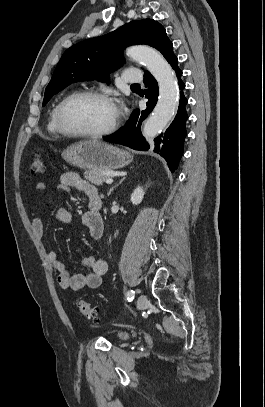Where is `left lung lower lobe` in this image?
<instances>
[{"label":"left lung lower lobe","mask_w":265,"mask_h":407,"mask_svg":"<svg viewBox=\"0 0 265 407\" xmlns=\"http://www.w3.org/2000/svg\"><path fill=\"white\" fill-rule=\"evenodd\" d=\"M177 62L178 60L176 58L170 65L176 73L178 85L181 89L178 112L165 133L155 138L154 143L151 145L153 151L160 154L167 161L172 172L177 169L179 160L183 154L184 139L187 135L185 126L186 120L188 119L186 112L188 101L183 93L185 84L181 79L182 71L178 67ZM144 83L146 87H148L146 98L149 99L146 110H134L125 126L117 133L103 137L105 141L118 143L140 151H146L150 148V145L141 134L140 127L143 120L147 118L155 107L159 92L158 84L149 72L144 74Z\"/></svg>","instance_id":"1"}]
</instances>
